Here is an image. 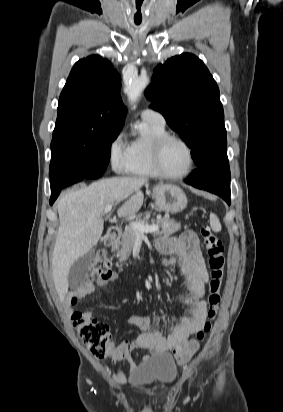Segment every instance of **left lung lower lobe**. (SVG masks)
<instances>
[{"mask_svg": "<svg viewBox=\"0 0 283 412\" xmlns=\"http://www.w3.org/2000/svg\"><path fill=\"white\" fill-rule=\"evenodd\" d=\"M210 162L199 166L185 182L199 189L217 194L230 204V170L223 150L212 152Z\"/></svg>", "mask_w": 283, "mask_h": 412, "instance_id": "left-lung-lower-lobe-1", "label": "left lung lower lobe"}]
</instances>
